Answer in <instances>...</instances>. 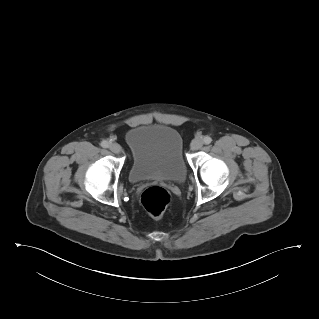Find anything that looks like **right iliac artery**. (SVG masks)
Segmentation results:
<instances>
[{
	"instance_id": "right-iliac-artery-1",
	"label": "right iliac artery",
	"mask_w": 319,
	"mask_h": 319,
	"mask_svg": "<svg viewBox=\"0 0 319 319\" xmlns=\"http://www.w3.org/2000/svg\"><path fill=\"white\" fill-rule=\"evenodd\" d=\"M109 145H110V143H109L108 141H106V140H104V141L101 142V146H102L103 148H108Z\"/></svg>"
}]
</instances>
